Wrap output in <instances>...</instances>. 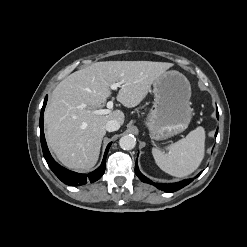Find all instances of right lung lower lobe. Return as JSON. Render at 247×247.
Instances as JSON below:
<instances>
[{"label": "right lung lower lobe", "mask_w": 247, "mask_h": 247, "mask_svg": "<svg viewBox=\"0 0 247 247\" xmlns=\"http://www.w3.org/2000/svg\"><path fill=\"white\" fill-rule=\"evenodd\" d=\"M47 96L44 99L43 107L41 109V114H40V140H41V145H42V150H43V155L44 158L50 167V169L54 172V174L65 184L70 185V186H77V185H82L86 183H93L100 179L102 175L104 174L105 171V162H106V156L108 153V150L110 148L111 143L108 144L103 161L101 165L93 172L88 173V174H79L76 172H72L70 170L65 169L64 167L60 166L58 163L54 161L52 158L44 136V131H43V113L44 109L47 103Z\"/></svg>", "instance_id": "98d812e1"}]
</instances>
